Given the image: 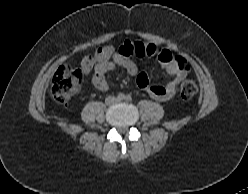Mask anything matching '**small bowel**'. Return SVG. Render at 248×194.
Wrapping results in <instances>:
<instances>
[{
  "instance_id": "obj_1",
  "label": "small bowel",
  "mask_w": 248,
  "mask_h": 194,
  "mask_svg": "<svg viewBox=\"0 0 248 194\" xmlns=\"http://www.w3.org/2000/svg\"><path fill=\"white\" fill-rule=\"evenodd\" d=\"M136 42L126 41L120 50L113 46L98 48L93 55L85 56L81 61L83 74L88 75L94 71L92 82L100 91L108 89L105 74L116 67L123 68L129 75H136V82L139 88L144 90L152 98L160 101L170 100L176 93L177 87L188 73L187 62L178 55L171 54L168 50L162 49L155 44H147L146 56L155 57L171 76L170 81L163 86L153 85L145 73H138L136 64L131 60L134 54Z\"/></svg>"
}]
</instances>
